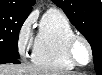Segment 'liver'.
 I'll return each mask as SVG.
<instances>
[{
    "instance_id": "liver-1",
    "label": "liver",
    "mask_w": 102,
    "mask_h": 75,
    "mask_svg": "<svg viewBox=\"0 0 102 75\" xmlns=\"http://www.w3.org/2000/svg\"><path fill=\"white\" fill-rule=\"evenodd\" d=\"M0 75H75L52 68L28 65L3 64L0 66Z\"/></svg>"
}]
</instances>
